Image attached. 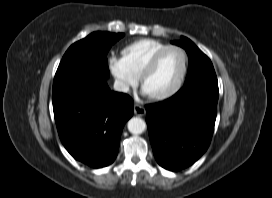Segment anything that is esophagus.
<instances>
[{"instance_id": "obj_1", "label": "esophagus", "mask_w": 272, "mask_h": 198, "mask_svg": "<svg viewBox=\"0 0 272 198\" xmlns=\"http://www.w3.org/2000/svg\"><path fill=\"white\" fill-rule=\"evenodd\" d=\"M134 114L137 115V116H144L146 114V110L144 107L136 104L134 106Z\"/></svg>"}]
</instances>
